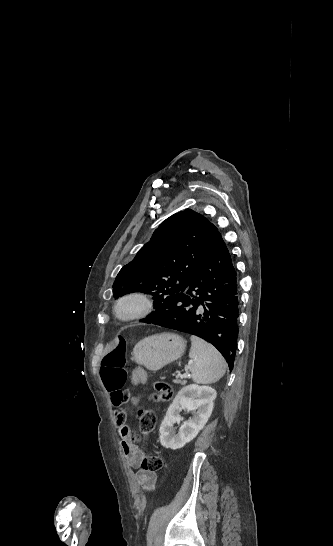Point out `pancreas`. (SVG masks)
I'll list each match as a JSON object with an SVG mask.
<instances>
[{"label": "pancreas", "mask_w": 333, "mask_h": 546, "mask_svg": "<svg viewBox=\"0 0 333 546\" xmlns=\"http://www.w3.org/2000/svg\"><path fill=\"white\" fill-rule=\"evenodd\" d=\"M175 382H176V383H182V384L186 383L185 380L181 381V380H178V379H176Z\"/></svg>", "instance_id": "cf45deb5"}]
</instances>
